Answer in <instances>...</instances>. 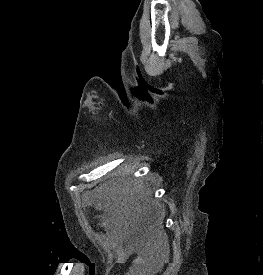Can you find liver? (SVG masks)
<instances>
[{
  "mask_svg": "<svg viewBox=\"0 0 263 275\" xmlns=\"http://www.w3.org/2000/svg\"><path fill=\"white\" fill-rule=\"evenodd\" d=\"M130 189L129 187H119V186H107L104 185L102 188H99L95 193L94 197L105 203V206L108 208H111L119 215L122 213V217L124 221H132L136 218V212L138 213L141 211L140 206L134 207L130 202H129V195ZM153 206L158 212V214L164 215V208L160 204H147L145 203L143 208L146 209L148 207ZM160 235L163 234V232H159Z\"/></svg>",
  "mask_w": 263,
  "mask_h": 275,
  "instance_id": "liver-1",
  "label": "liver"
}]
</instances>
